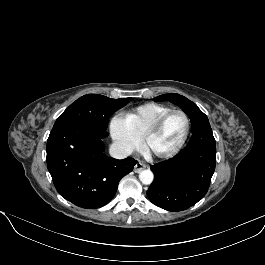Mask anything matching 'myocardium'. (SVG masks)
<instances>
[{
  "label": "myocardium",
  "instance_id": "f54148a6",
  "mask_svg": "<svg viewBox=\"0 0 265 265\" xmlns=\"http://www.w3.org/2000/svg\"><path fill=\"white\" fill-rule=\"evenodd\" d=\"M173 114H179V115L183 116L185 121H186V130H185L183 138L175 147H173L169 150L161 151V152H151L149 150L150 140L159 132V130L161 129V127H162L163 123L166 121V119ZM190 130H191V122H190V118L188 117V115L182 110L171 109V110L163 113L161 116H159L153 122V124L147 129V131L143 134V136L141 138L142 139V145L150 153V155L155 157V158H159V159L169 158V157H172L175 154H177L184 147V145L186 144L188 137L190 135Z\"/></svg>",
  "mask_w": 265,
  "mask_h": 265
}]
</instances>
